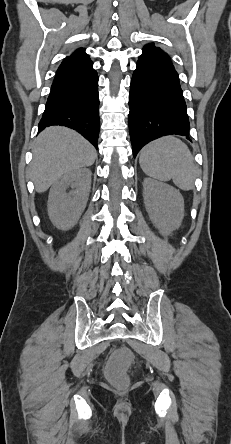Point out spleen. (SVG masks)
Instances as JSON below:
<instances>
[{
	"mask_svg": "<svg viewBox=\"0 0 231 444\" xmlns=\"http://www.w3.org/2000/svg\"><path fill=\"white\" fill-rule=\"evenodd\" d=\"M143 172L159 181L173 180L181 190H192L196 167L188 146L174 136L154 140L144 146L139 158Z\"/></svg>",
	"mask_w": 231,
	"mask_h": 444,
	"instance_id": "1",
	"label": "spleen"
}]
</instances>
